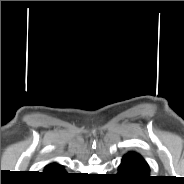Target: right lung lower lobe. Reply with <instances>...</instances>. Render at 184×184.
<instances>
[{"mask_svg":"<svg viewBox=\"0 0 184 184\" xmlns=\"http://www.w3.org/2000/svg\"><path fill=\"white\" fill-rule=\"evenodd\" d=\"M45 174L52 176L53 178H61L67 174L63 167L58 164H50L45 167Z\"/></svg>","mask_w":184,"mask_h":184,"instance_id":"1","label":"right lung lower lobe"}]
</instances>
